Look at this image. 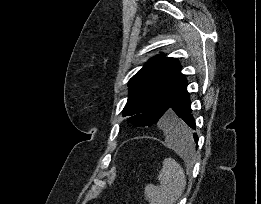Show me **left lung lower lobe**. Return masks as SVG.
<instances>
[{
	"instance_id": "1",
	"label": "left lung lower lobe",
	"mask_w": 261,
	"mask_h": 204,
	"mask_svg": "<svg viewBox=\"0 0 261 204\" xmlns=\"http://www.w3.org/2000/svg\"><path fill=\"white\" fill-rule=\"evenodd\" d=\"M165 128L168 135L177 141L188 143L189 139L198 143V136L192 132L196 129L195 119L192 115L191 102L189 93L187 92V81L178 91L173 100L167 117L161 124Z\"/></svg>"
}]
</instances>
